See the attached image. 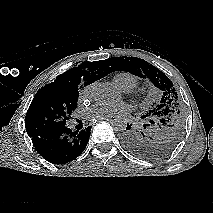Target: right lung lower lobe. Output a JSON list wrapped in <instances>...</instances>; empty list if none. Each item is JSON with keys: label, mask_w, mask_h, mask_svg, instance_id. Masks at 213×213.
Segmentation results:
<instances>
[{"label": "right lung lower lobe", "mask_w": 213, "mask_h": 213, "mask_svg": "<svg viewBox=\"0 0 213 213\" xmlns=\"http://www.w3.org/2000/svg\"><path fill=\"white\" fill-rule=\"evenodd\" d=\"M91 126L81 132H72L67 127L54 128L34 135L33 146L48 162L65 164L77 158L86 148Z\"/></svg>", "instance_id": "obj_1"}]
</instances>
